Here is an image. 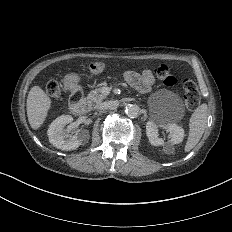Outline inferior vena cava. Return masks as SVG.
Segmentation results:
<instances>
[{
	"label": "inferior vena cava",
	"instance_id": "obj_1",
	"mask_svg": "<svg viewBox=\"0 0 232 232\" xmlns=\"http://www.w3.org/2000/svg\"><path fill=\"white\" fill-rule=\"evenodd\" d=\"M118 105V101H106L100 104L99 109L100 110H107V109H112Z\"/></svg>",
	"mask_w": 232,
	"mask_h": 232
}]
</instances>
